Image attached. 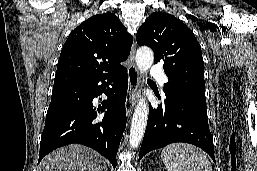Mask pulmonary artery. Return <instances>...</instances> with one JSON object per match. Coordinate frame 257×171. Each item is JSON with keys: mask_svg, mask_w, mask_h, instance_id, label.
Segmentation results:
<instances>
[{"mask_svg": "<svg viewBox=\"0 0 257 171\" xmlns=\"http://www.w3.org/2000/svg\"><path fill=\"white\" fill-rule=\"evenodd\" d=\"M150 76L159 80L161 86L167 82V77L160 67L153 65L150 69Z\"/></svg>", "mask_w": 257, "mask_h": 171, "instance_id": "e3ab8cb5", "label": "pulmonary artery"}]
</instances>
